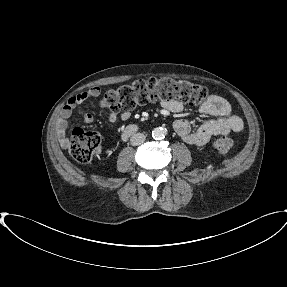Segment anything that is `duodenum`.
<instances>
[{
	"mask_svg": "<svg viewBox=\"0 0 287 287\" xmlns=\"http://www.w3.org/2000/svg\"><path fill=\"white\" fill-rule=\"evenodd\" d=\"M136 129H137V127L134 124L128 125L124 130L123 136L125 138L131 136L133 133L136 132Z\"/></svg>",
	"mask_w": 287,
	"mask_h": 287,
	"instance_id": "obj_1",
	"label": "duodenum"
}]
</instances>
